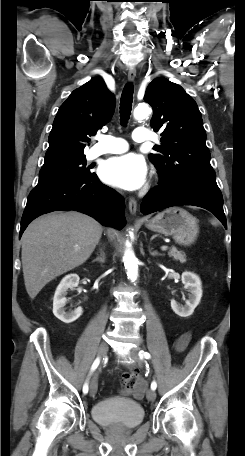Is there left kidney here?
<instances>
[{"label": "left kidney", "instance_id": "left-kidney-1", "mask_svg": "<svg viewBox=\"0 0 245 456\" xmlns=\"http://www.w3.org/2000/svg\"><path fill=\"white\" fill-rule=\"evenodd\" d=\"M184 288L189 292V299L184 306L178 304L174 299L171 300L172 310L180 317H189L198 306L202 297V286L200 278L191 272L182 273Z\"/></svg>", "mask_w": 245, "mask_h": 456}]
</instances>
